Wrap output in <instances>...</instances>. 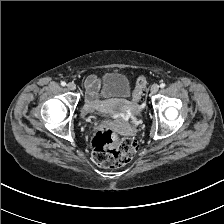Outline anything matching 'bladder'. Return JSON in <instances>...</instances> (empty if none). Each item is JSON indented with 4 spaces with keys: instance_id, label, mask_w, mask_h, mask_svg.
<instances>
[{
    "instance_id": "obj_1",
    "label": "bladder",
    "mask_w": 224,
    "mask_h": 224,
    "mask_svg": "<svg viewBox=\"0 0 224 224\" xmlns=\"http://www.w3.org/2000/svg\"><path fill=\"white\" fill-rule=\"evenodd\" d=\"M130 92L131 83L125 74L118 71H110L103 75L101 96L105 100L117 101L125 106Z\"/></svg>"
}]
</instances>
